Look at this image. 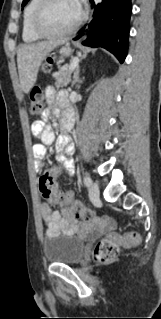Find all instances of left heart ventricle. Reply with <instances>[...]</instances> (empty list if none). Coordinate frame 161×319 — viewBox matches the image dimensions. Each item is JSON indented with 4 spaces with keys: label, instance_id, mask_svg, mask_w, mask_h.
Instances as JSON below:
<instances>
[{
    "label": "left heart ventricle",
    "instance_id": "b2bd125f",
    "mask_svg": "<svg viewBox=\"0 0 161 319\" xmlns=\"http://www.w3.org/2000/svg\"><path fill=\"white\" fill-rule=\"evenodd\" d=\"M78 14V0H53L43 15L42 26L47 31H60L71 25Z\"/></svg>",
    "mask_w": 161,
    "mask_h": 319
}]
</instances>
